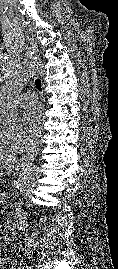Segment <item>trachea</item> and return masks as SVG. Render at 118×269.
<instances>
[{
	"instance_id": "trachea-1",
	"label": "trachea",
	"mask_w": 118,
	"mask_h": 269,
	"mask_svg": "<svg viewBox=\"0 0 118 269\" xmlns=\"http://www.w3.org/2000/svg\"><path fill=\"white\" fill-rule=\"evenodd\" d=\"M35 86H36V88L38 89V90H42V87H41V80L40 79H36L35 80Z\"/></svg>"
}]
</instances>
